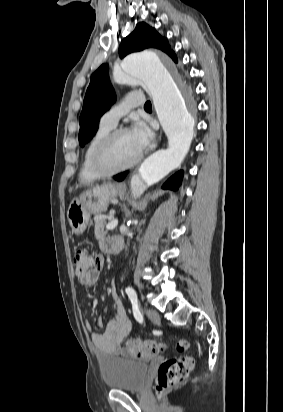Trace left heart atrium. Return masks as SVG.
<instances>
[{"instance_id":"obj_1","label":"left heart atrium","mask_w":283,"mask_h":412,"mask_svg":"<svg viewBox=\"0 0 283 412\" xmlns=\"http://www.w3.org/2000/svg\"><path fill=\"white\" fill-rule=\"evenodd\" d=\"M129 133L139 152L149 145L153 137L150 129L141 121L136 122Z\"/></svg>"}]
</instances>
